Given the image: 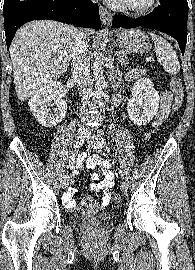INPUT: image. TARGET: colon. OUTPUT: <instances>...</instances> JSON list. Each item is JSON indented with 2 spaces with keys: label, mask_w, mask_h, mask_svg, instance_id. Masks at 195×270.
<instances>
[{
  "label": "colon",
  "mask_w": 195,
  "mask_h": 270,
  "mask_svg": "<svg viewBox=\"0 0 195 270\" xmlns=\"http://www.w3.org/2000/svg\"><path fill=\"white\" fill-rule=\"evenodd\" d=\"M170 88L174 94L172 112L173 114H176L180 110L184 101V90L181 79L179 77H173L170 81ZM113 199L115 202H120L121 197L119 194L116 193L114 194Z\"/></svg>",
  "instance_id": "obj_1"
}]
</instances>
